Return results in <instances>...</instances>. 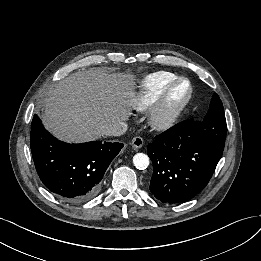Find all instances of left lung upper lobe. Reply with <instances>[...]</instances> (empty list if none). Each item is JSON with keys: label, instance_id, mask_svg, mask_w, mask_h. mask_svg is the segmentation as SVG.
<instances>
[{"label": "left lung upper lobe", "instance_id": "5c2ea615", "mask_svg": "<svg viewBox=\"0 0 261 261\" xmlns=\"http://www.w3.org/2000/svg\"><path fill=\"white\" fill-rule=\"evenodd\" d=\"M201 124L202 141L223 150L227 125L223 104L217 94L213 95L209 111Z\"/></svg>", "mask_w": 261, "mask_h": 261}]
</instances>
